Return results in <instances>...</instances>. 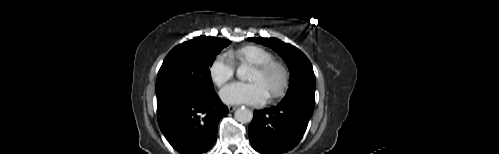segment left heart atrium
<instances>
[{
  "instance_id": "1",
  "label": "left heart atrium",
  "mask_w": 499,
  "mask_h": 154,
  "mask_svg": "<svg viewBox=\"0 0 499 154\" xmlns=\"http://www.w3.org/2000/svg\"><path fill=\"white\" fill-rule=\"evenodd\" d=\"M268 96L259 82H234L220 92L221 99L227 104L261 105Z\"/></svg>"
}]
</instances>
